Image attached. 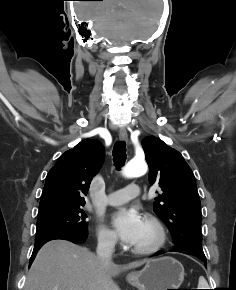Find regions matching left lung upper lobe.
<instances>
[{
  "mask_svg": "<svg viewBox=\"0 0 236 290\" xmlns=\"http://www.w3.org/2000/svg\"><path fill=\"white\" fill-rule=\"evenodd\" d=\"M149 165V183L163 193L153 210L174 238V248H185L205 257L200 232L201 203L194 174L183 156L161 139L150 136L142 142Z\"/></svg>",
  "mask_w": 236,
  "mask_h": 290,
  "instance_id": "obj_1",
  "label": "left lung upper lobe"
}]
</instances>
